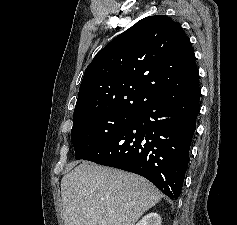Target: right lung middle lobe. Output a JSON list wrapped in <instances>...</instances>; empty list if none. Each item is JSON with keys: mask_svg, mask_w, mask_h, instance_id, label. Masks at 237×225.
<instances>
[{"mask_svg": "<svg viewBox=\"0 0 237 225\" xmlns=\"http://www.w3.org/2000/svg\"><path fill=\"white\" fill-rule=\"evenodd\" d=\"M136 113H106L73 122L71 141L75 158L85 156L100 148L120 133L135 117Z\"/></svg>", "mask_w": 237, "mask_h": 225, "instance_id": "1", "label": "right lung middle lobe"}]
</instances>
